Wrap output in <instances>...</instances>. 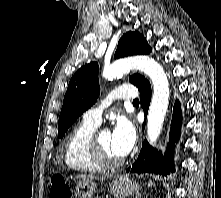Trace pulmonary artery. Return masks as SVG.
Wrapping results in <instances>:
<instances>
[{"mask_svg":"<svg viewBox=\"0 0 221 198\" xmlns=\"http://www.w3.org/2000/svg\"><path fill=\"white\" fill-rule=\"evenodd\" d=\"M137 91L134 87L123 85L115 88L99 107L89 109L83 115L84 120L99 125L101 122L102 111L115 99H135Z\"/></svg>","mask_w":221,"mask_h":198,"instance_id":"e3ab8cb5","label":"pulmonary artery"}]
</instances>
